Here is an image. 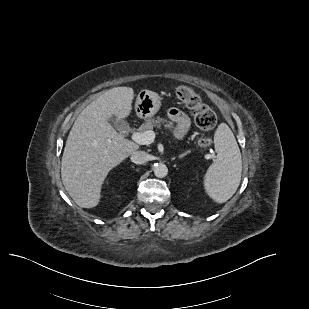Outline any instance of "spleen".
Masks as SVG:
<instances>
[{"instance_id": "spleen-1", "label": "spleen", "mask_w": 309, "mask_h": 309, "mask_svg": "<svg viewBox=\"0 0 309 309\" xmlns=\"http://www.w3.org/2000/svg\"><path fill=\"white\" fill-rule=\"evenodd\" d=\"M216 159L207 169L203 184L207 195L216 203H225L236 192L241 181L242 157L235 136L226 123L214 134Z\"/></svg>"}]
</instances>
